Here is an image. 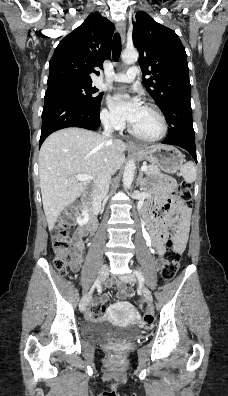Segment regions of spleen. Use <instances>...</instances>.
Returning a JSON list of instances; mask_svg holds the SVG:
<instances>
[{
  "label": "spleen",
  "mask_w": 228,
  "mask_h": 396,
  "mask_svg": "<svg viewBox=\"0 0 228 396\" xmlns=\"http://www.w3.org/2000/svg\"><path fill=\"white\" fill-rule=\"evenodd\" d=\"M180 174L187 183H192L196 180V168L193 162H187L180 168Z\"/></svg>",
  "instance_id": "1"
}]
</instances>
